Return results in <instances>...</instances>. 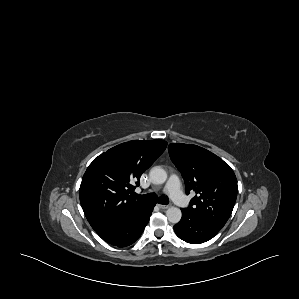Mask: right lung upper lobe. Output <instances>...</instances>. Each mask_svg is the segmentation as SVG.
<instances>
[{
    "mask_svg": "<svg viewBox=\"0 0 299 299\" xmlns=\"http://www.w3.org/2000/svg\"><path fill=\"white\" fill-rule=\"evenodd\" d=\"M163 140L129 141L96 157L80 185V202L95 230L141 211L149 204L129 195L142 173L164 152Z\"/></svg>",
    "mask_w": 299,
    "mask_h": 299,
    "instance_id": "obj_1",
    "label": "right lung upper lobe"
}]
</instances>
